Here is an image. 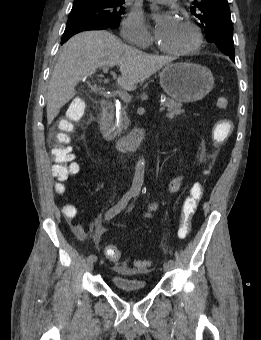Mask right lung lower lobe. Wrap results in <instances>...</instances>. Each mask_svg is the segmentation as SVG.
<instances>
[{"mask_svg":"<svg viewBox=\"0 0 261 340\" xmlns=\"http://www.w3.org/2000/svg\"><path fill=\"white\" fill-rule=\"evenodd\" d=\"M107 28L108 27L105 25L100 24L89 17L76 16L68 18L67 25L61 39V44L65 43L71 36L81 31L102 30Z\"/></svg>","mask_w":261,"mask_h":340,"instance_id":"right-lung-lower-lobe-1","label":"right lung lower lobe"}]
</instances>
